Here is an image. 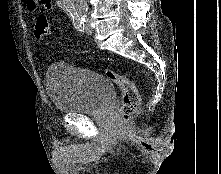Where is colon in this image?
Masks as SVG:
<instances>
[{"instance_id": "1", "label": "colon", "mask_w": 221, "mask_h": 174, "mask_svg": "<svg viewBox=\"0 0 221 174\" xmlns=\"http://www.w3.org/2000/svg\"><path fill=\"white\" fill-rule=\"evenodd\" d=\"M35 33L38 38L46 39L51 34L49 19L42 15L39 16L35 25ZM105 75L116 85L122 92V104L120 108L121 122L126 125L131 117L137 111L140 104V95L135 83L127 76L117 73L113 70H105Z\"/></svg>"}]
</instances>
